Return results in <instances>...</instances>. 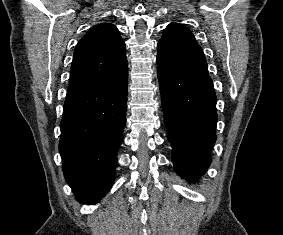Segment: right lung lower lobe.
I'll return each instance as SVG.
<instances>
[{
    "instance_id": "right-lung-lower-lobe-1",
    "label": "right lung lower lobe",
    "mask_w": 283,
    "mask_h": 235,
    "mask_svg": "<svg viewBox=\"0 0 283 235\" xmlns=\"http://www.w3.org/2000/svg\"><path fill=\"white\" fill-rule=\"evenodd\" d=\"M128 72L68 90L59 151L66 180L82 203H97L114 182L123 140Z\"/></svg>"
}]
</instances>
